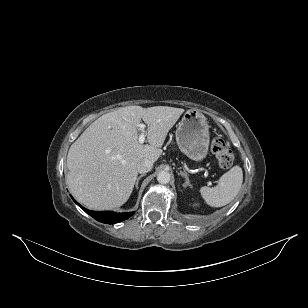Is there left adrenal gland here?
<instances>
[{
    "label": "left adrenal gland",
    "mask_w": 308,
    "mask_h": 308,
    "mask_svg": "<svg viewBox=\"0 0 308 308\" xmlns=\"http://www.w3.org/2000/svg\"><path fill=\"white\" fill-rule=\"evenodd\" d=\"M180 175L181 176H183L184 178H185V183L183 184V187H190V188H192V185H191V182H190V180H189V177L187 176V174L185 173V172H183V171H180Z\"/></svg>",
    "instance_id": "obj_1"
}]
</instances>
